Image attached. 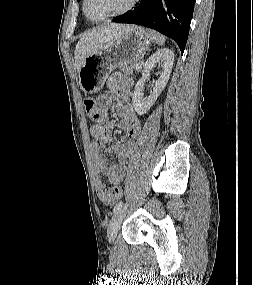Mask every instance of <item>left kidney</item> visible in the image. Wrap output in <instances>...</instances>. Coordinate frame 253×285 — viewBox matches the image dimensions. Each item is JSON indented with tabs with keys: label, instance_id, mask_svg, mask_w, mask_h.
Instances as JSON below:
<instances>
[{
	"label": "left kidney",
	"instance_id": "5707ae66",
	"mask_svg": "<svg viewBox=\"0 0 253 285\" xmlns=\"http://www.w3.org/2000/svg\"><path fill=\"white\" fill-rule=\"evenodd\" d=\"M174 63V53L171 49L163 48L156 51L144 64L142 77H148L153 67L158 64L162 67L160 77L156 80L153 92L148 98L144 97L143 81L139 80L134 89L132 104L138 115L145 114L156 102L158 96L163 91L170 77Z\"/></svg>",
	"mask_w": 253,
	"mask_h": 285
}]
</instances>
